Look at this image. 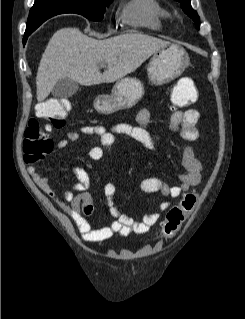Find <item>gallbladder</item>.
I'll return each mask as SVG.
<instances>
[{"label":"gallbladder","mask_w":245,"mask_h":319,"mask_svg":"<svg viewBox=\"0 0 245 319\" xmlns=\"http://www.w3.org/2000/svg\"><path fill=\"white\" fill-rule=\"evenodd\" d=\"M78 89V82L66 77L57 82L52 94L57 98H70L77 93Z\"/></svg>","instance_id":"bac80fb5"}]
</instances>
